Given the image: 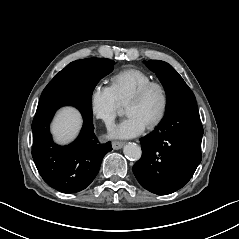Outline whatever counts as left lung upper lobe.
Here are the masks:
<instances>
[{
  "label": "left lung upper lobe",
  "mask_w": 239,
  "mask_h": 239,
  "mask_svg": "<svg viewBox=\"0 0 239 239\" xmlns=\"http://www.w3.org/2000/svg\"><path fill=\"white\" fill-rule=\"evenodd\" d=\"M145 63L156 73L166 91V111L181 102L196 99L191 89L171 65L160 60H149Z\"/></svg>",
  "instance_id": "5c2ea615"
}]
</instances>
